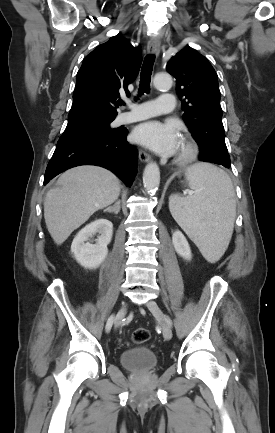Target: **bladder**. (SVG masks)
<instances>
[{"mask_svg": "<svg viewBox=\"0 0 275 433\" xmlns=\"http://www.w3.org/2000/svg\"><path fill=\"white\" fill-rule=\"evenodd\" d=\"M122 367L134 372L153 370L158 364L155 352L146 346H133L125 349L119 356Z\"/></svg>", "mask_w": 275, "mask_h": 433, "instance_id": "1", "label": "bladder"}]
</instances>
